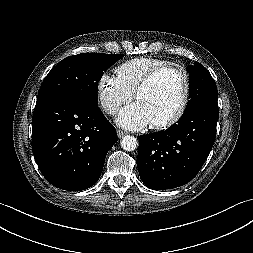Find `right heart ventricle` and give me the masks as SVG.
Here are the masks:
<instances>
[{
  "label": "right heart ventricle",
  "instance_id": "e07e8e85",
  "mask_svg": "<svg viewBox=\"0 0 253 253\" xmlns=\"http://www.w3.org/2000/svg\"><path fill=\"white\" fill-rule=\"evenodd\" d=\"M168 64L169 62L159 58L137 57L117 66L115 74L117 80L134 94L139 83L151 70Z\"/></svg>",
  "mask_w": 253,
  "mask_h": 253
}]
</instances>
